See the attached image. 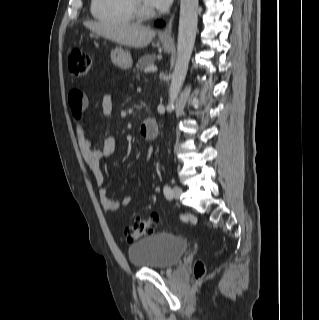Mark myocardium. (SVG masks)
<instances>
[{"label":"myocardium","mask_w":319,"mask_h":320,"mask_svg":"<svg viewBox=\"0 0 319 320\" xmlns=\"http://www.w3.org/2000/svg\"><path fill=\"white\" fill-rule=\"evenodd\" d=\"M129 3L132 12L138 19H148L155 15V10L146 6L142 0H129Z\"/></svg>","instance_id":"myocardium-1"}]
</instances>
